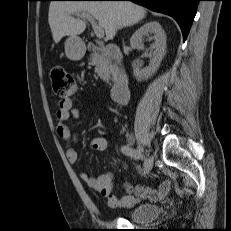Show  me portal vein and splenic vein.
Instances as JSON below:
<instances>
[{
  "mask_svg": "<svg viewBox=\"0 0 231 231\" xmlns=\"http://www.w3.org/2000/svg\"><path fill=\"white\" fill-rule=\"evenodd\" d=\"M81 17L84 19H87L91 23L93 30H94V33L99 39L104 37L103 28L101 26L97 25V23L95 22V19L91 15H89L87 13H82Z\"/></svg>",
  "mask_w": 231,
  "mask_h": 231,
  "instance_id": "portal-vein-and-splenic-vein-1",
  "label": "portal vein and splenic vein"
}]
</instances>
